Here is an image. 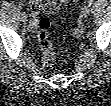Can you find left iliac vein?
<instances>
[{"label":"left iliac vein","mask_w":111,"mask_h":106,"mask_svg":"<svg viewBox=\"0 0 111 106\" xmlns=\"http://www.w3.org/2000/svg\"><path fill=\"white\" fill-rule=\"evenodd\" d=\"M90 12H91V7H90V6H86V7L84 8V14H85V15H88V14H90Z\"/></svg>","instance_id":"left-iliac-vein-1"}]
</instances>
